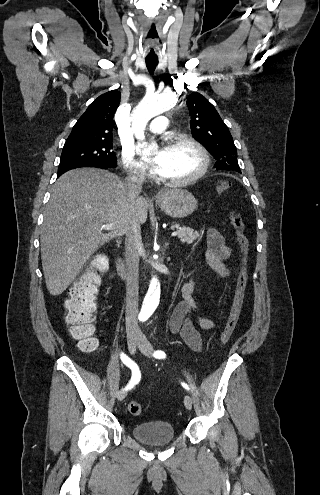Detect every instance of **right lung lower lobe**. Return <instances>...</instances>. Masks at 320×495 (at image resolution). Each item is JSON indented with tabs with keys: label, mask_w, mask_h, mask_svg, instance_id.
Listing matches in <instances>:
<instances>
[{
	"label": "right lung lower lobe",
	"mask_w": 320,
	"mask_h": 495,
	"mask_svg": "<svg viewBox=\"0 0 320 495\" xmlns=\"http://www.w3.org/2000/svg\"><path fill=\"white\" fill-rule=\"evenodd\" d=\"M89 167V166H88ZM91 167V166H90ZM92 167H97V168H102V169H108V168H111V167H107V166H104V165H92ZM63 173L61 174H58L57 177L61 176Z\"/></svg>",
	"instance_id": "98d812e1"
}]
</instances>
